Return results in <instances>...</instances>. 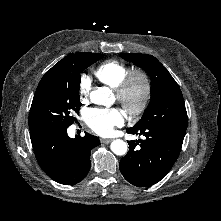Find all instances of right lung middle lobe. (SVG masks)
<instances>
[{
  "mask_svg": "<svg viewBox=\"0 0 221 221\" xmlns=\"http://www.w3.org/2000/svg\"><path fill=\"white\" fill-rule=\"evenodd\" d=\"M101 58L102 54L79 52L44 74L30 109V132L70 126L76 120L73 113L79 114L81 106L80 74Z\"/></svg>",
  "mask_w": 221,
  "mask_h": 221,
  "instance_id": "dd1d6c3e",
  "label": "right lung middle lobe"
}]
</instances>
